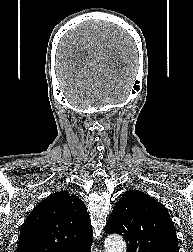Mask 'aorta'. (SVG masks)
<instances>
[{"instance_id": "762f6f07", "label": "aorta", "mask_w": 193, "mask_h": 252, "mask_svg": "<svg viewBox=\"0 0 193 252\" xmlns=\"http://www.w3.org/2000/svg\"><path fill=\"white\" fill-rule=\"evenodd\" d=\"M105 252H126V243L119 235H110L105 239Z\"/></svg>"}]
</instances>
